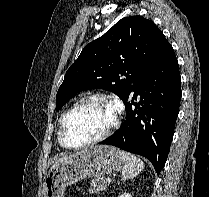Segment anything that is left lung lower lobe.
Segmentation results:
<instances>
[{
	"label": "left lung lower lobe",
	"instance_id": "obj_1",
	"mask_svg": "<svg viewBox=\"0 0 209 197\" xmlns=\"http://www.w3.org/2000/svg\"><path fill=\"white\" fill-rule=\"evenodd\" d=\"M138 95L140 102L135 103ZM181 95L178 61L166 40L123 101L126 120L100 144L146 157L159 174L170 151Z\"/></svg>",
	"mask_w": 209,
	"mask_h": 197
}]
</instances>
